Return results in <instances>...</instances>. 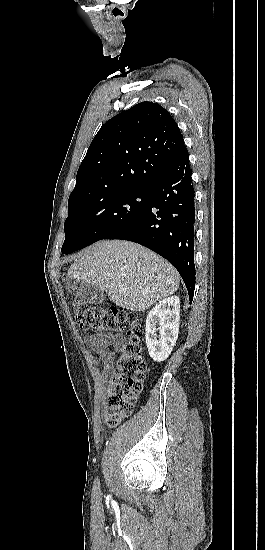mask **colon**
<instances>
[{
	"mask_svg": "<svg viewBox=\"0 0 265 550\" xmlns=\"http://www.w3.org/2000/svg\"><path fill=\"white\" fill-rule=\"evenodd\" d=\"M78 325L93 332L126 333L129 337L114 364V375L105 398L106 422L117 426L132 414L142 391L146 365L142 357L143 325L135 312L93 307L85 302L72 303Z\"/></svg>",
	"mask_w": 265,
	"mask_h": 550,
	"instance_id": "1",
	"label": "colon"
}]
</instances>
